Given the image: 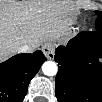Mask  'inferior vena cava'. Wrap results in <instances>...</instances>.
I'll return each instance as SVG.
<instances>
[{"instance_id": "1", "label": "inferior vena cava", "mask_w": 102, "mask_h": 102, "mask_svg": "<svg viewBox=\"0 0 102 102\" xmlns=\"http://www.w3.org/2000/svg\"><path fill=\"white\" fill-rule=\"evenodd\" d=\"M36 48L35 45H23L22 47L19 48L18 52L20 53H31L34 51Z\"/></svg>"}]
</instances>
